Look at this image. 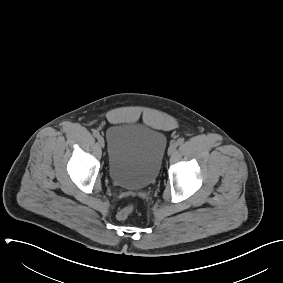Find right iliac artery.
I'll use <instances>...</instances> for the list:
<instances>
[{
  "mask_svg": "<svg viewBox=\"0 0 283 283\" xmlns=\"http://www.w3.org/2000/svg\"><path fill=\"white\" fill-rule=\"evenodd\" d=\"M93 135L98 138L100 136L99 132L97 130H93Z\"/></svg>",
  "mask_w": 283,
  "mask_h": 283,
  "instance_id": "82829eb1",
  "label": "right iliac artery"
}]
</instances>
